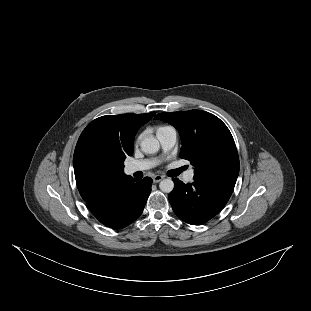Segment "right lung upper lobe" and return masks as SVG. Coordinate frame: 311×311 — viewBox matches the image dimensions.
<instances>
[{
	"label": "right lung upper lobe",
	"instance_id": "cb5924a9",
	"mask_svg": "<svg viewBox=\"0 0 311 311\" xmlns=\"http://www.w3.org/2000/svg\"><path fill=\"white\" fill-rule=\"evenodd\" d=\"M155 112L147 114L106 115L90 122L81 133L73 157L77 188L87 201L98 191L128 178L124 160L134 150V137ZM91 138L101 139L108 147V155L100 160H89L82 153L84 143Z\"/></svg>",
	"mask_w": 311,
	"mask_h": 311
}]
</instances>
